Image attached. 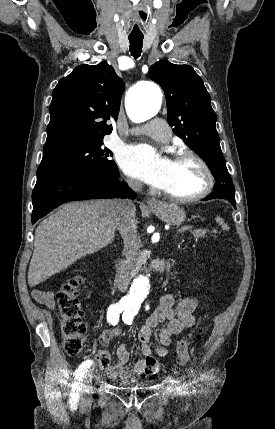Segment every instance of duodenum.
<instances>
[{
	"label": "duodenum",
	"instance_id": "1",
	"mask_svg": "<svg viewBox=\"0 0 275 429\" xmlns=\"http://www.w3.org/2000/svg\"><path fill=\"white\" fill-rule=\"evenodd\" d=\"M157 268L159 271H162L164 268L163 263H159L157 265ZM116 269H117L118 286L120 289L124 290L129 283V275H128L127 271L125 270V267H124L122 260L117 261Z\"/></svg>",
	"mask_w": 275,
	"mask_h": 429
}]
</instances>
